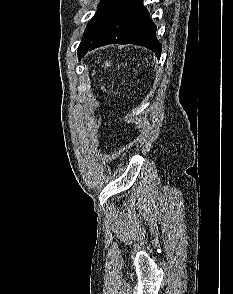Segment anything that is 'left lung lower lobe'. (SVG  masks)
Listing matches in <instances>:
<instances>
[{
    "label": "left lung lower lobe",
    "instance_id": "obj_1",
    "mask_svg": "<svg viewBox=\"0 0 233 294\" xmlns=\"http://www.w3.org/2000/svg\"><path fill=\"white\" fill-rule=\"evenodd\" d=\"M155 34L156 25L143 0H112L83 42L78 57L97 47L117 43L144 46L159 58L162 46Z\"/></svg>",
    "mask_w": 233,
    "mask_h": 294
}]
</instances>
